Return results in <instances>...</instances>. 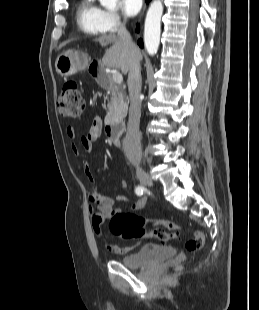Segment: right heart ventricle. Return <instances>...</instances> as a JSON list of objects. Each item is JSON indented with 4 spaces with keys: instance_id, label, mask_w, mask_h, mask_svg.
<instances>
[{
    "instance_id": "right-heart-ventricle-1",
    "label": "right heart ventricle",
    "mask_w": 259,
    "mask_h": 310,
    "mask_svg": "<svg viewBox=\"0 0 259 310\" xmlns=\"http://www.w3.org/2000/svg\"><path fill=\"white\" fill-rule=\"evenodd\" d=\"M102 12L96 0H81L78 5L76 18L78 27L88 34L104 32Z\"/></svg>"
}]
</instances>
